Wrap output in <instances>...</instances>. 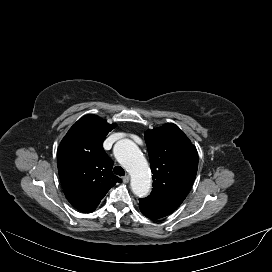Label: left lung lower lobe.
Listing matches in <instances>:
<instances>
[{
  "mask_svg": "<svg viewBox=\"0 0 272 272\" xmlns=\"http://www.w3.org/2000/svg\"><path fill=\"white\" fill-rule=\"evenodd\" d=\"M141 212H142L143 215H145L147 218H150V219H157V218L153 217V216L150 215V214H147V213H145V212H143V211H141Z\"/></svg>",
  "mask_w": 272,
  "mask_h": 272,
  "instance_id": "left-lung-lower-lobe-1",
  "label": "left lung lower lobe"
}]
</instances>
